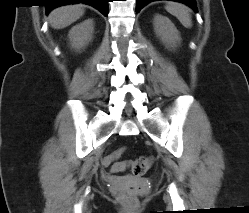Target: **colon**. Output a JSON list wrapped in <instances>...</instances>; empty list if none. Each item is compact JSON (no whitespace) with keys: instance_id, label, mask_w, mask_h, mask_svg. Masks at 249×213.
Here are the masks:
<instances>
[{"instance_id":"5ec220e1","label":"colon","mask_w":249,"mask_h":213,"mask_svg":"<svg viewBox=\"0 0 249 213\" xmlns=\"http://www.w3.org/2000/svg\"><path fill=\"white\" fill-rule=\"evenodd\" d=\"M124 150L125 148L117 149L104 158L103 163L110 168L111 172L117 173L130 168L133 175L141 176L151 167L153 160L148 156L138 157L133 162L118 161ZM136 197L137 188L134 186L127 188L119 195L120 200L126 204H133L136 201Z\"/></svg>"}]
</instances>
